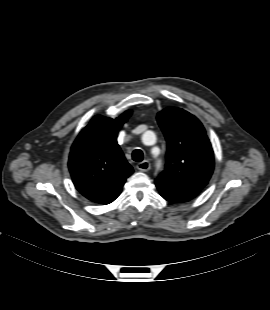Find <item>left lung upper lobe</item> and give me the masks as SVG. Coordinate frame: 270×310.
Masks as SVG:
<instances>
[{"mask_svg":"<svg viewBox=\"0 0 270 310\" xmlns=\"http://www.w3.org/2000/svg\"><path fill=\"white\" fill-rule=\"evenodd\" d=\"M157 121L167 140L165 170L155 181L201 191L214 168V153L201 122L187 111L166 108Z\"/></svg>","mask_w":270,"mask_h":310,"instance_id":"obj_1","label":"left lung upper lobe"}]
</instances>
